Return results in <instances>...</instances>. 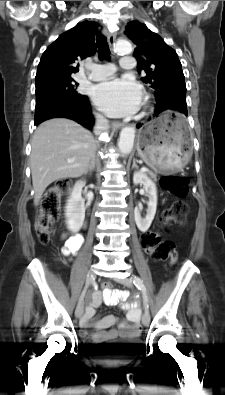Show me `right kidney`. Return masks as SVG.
I'll use <instances>...</instances> for the list:
<instances>
[{
    "label": "right kidney",
    "mask_w": 225,
    "mask_h": 395,
    "mask_svg": "<svg viewBox=\"0 0 225 395\" xmlns=\"http://www.w3.org/2000/svg\"><path fill=\"white\" fill-rule=\"evenodd\" d=\"M81 191L82 185L74 186L65 207L66 223L72 232H78L85 219V206Z\"/></svg>",
    "instance_id": "obj_1"
}]
</instances>
